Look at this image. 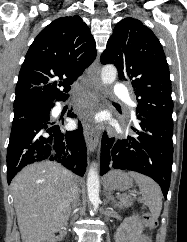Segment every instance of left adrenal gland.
<instances>
[{"mask_svg": "<svg viewBox=\"0 0 187 242\" xmlns=\"http://www.w3.org/2000/svg\"><path fill=\"white\" fill-rule=\"evenodd\" d=\"M112 203V205L115 207L116 206V200L115 197L110 193V192H106V202H110Z\"/></svg>", "mask_w": 187, "mask_h": 242, "instance_id": "obj_1", "label": "left adrenal gland"}]
</instances>
